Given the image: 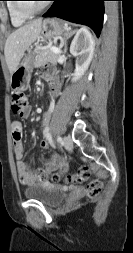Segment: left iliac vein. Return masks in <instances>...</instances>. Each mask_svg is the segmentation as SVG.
<instances>
[{
	"label": "left iliac vein",
	"instance_id": "4c4485c4",
	"mask_svg": "<svg viewBox=\"0 0 133 253\" xmlns=\"http://www.w3.org/2000/svg\"><path fill=\"white\" fill-rule=\"evenodd\" d=\"M63 145L66 149H71L73 147V141L70 136H64Z\"/></svg>",
	"mask_w": 133,
	"mask_h": 253
}]
</instances>
